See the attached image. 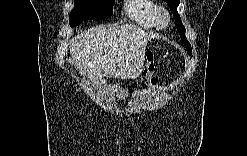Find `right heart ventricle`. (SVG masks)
Returning <instances> with one entry per match:
<instances>
[{"label":"right heart ventricle","mask_w":247,"mask_h":156,"mask_svg":"<svg viewBox=\"0 0 247 156\" xmlns=\"http://www.w3.org/2000/svg\"><path fill=\"white\" fill-rule=\"evenodd\" d=\"M159 6L152 0H134L129 1L124 8L125 15L144 28L159 27L156 22V14Z\"/></svg>","instance_id":"1"}]
</instances>
